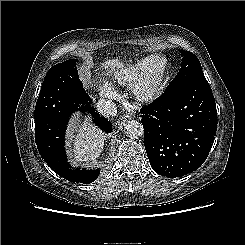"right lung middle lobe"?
<instances>
[{"mask_svg": "<svg viewBox=\"0 0 245 245\" xmlns=\"http://www.w3.org/2000/svg\"><path fill=\"white\" fill-rule=\"evenodd\" d=\"M76 62L66 60L49 69L36 103L35 119H58L79 109L90 110V98L78 78Z\"/></svg>", "mask_w": 245, "mask_h": 245, "instance_id": "obj_1", "label": "right lung middle lobe"}]
</instances>
